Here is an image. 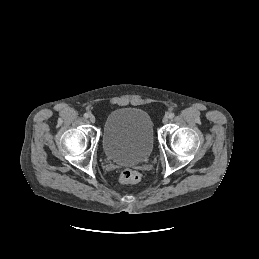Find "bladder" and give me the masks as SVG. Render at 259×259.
<instances>
[{"label":"bladder","mask_w":259,"mask_h":259,"mask_svg":"<svg viewBox=\"0 0 259 259\" xmlns=\"http://www.w3.org/2000/svg\"><path fill=\"white\" fill-rule=\"evenodd\" d=\"M153 145V123L145 111L124 107L107 116L102 147L109 160L122 165L143 163L150 157Z\"/></svg>","instance_id":"1"}]
</instances>
